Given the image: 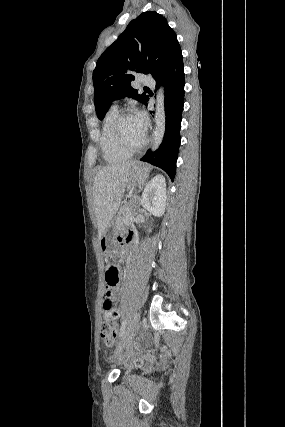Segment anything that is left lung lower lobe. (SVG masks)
Returning a JSON list of instances; mask_svg holds the SVG:
<instances>
[{"label":"left lung lower lobe","instance_id":"0a47b994","mask_svg":"<svg viewBox=\"0 0 285 427\" xmlns=\"http://www.w3.org/2000/svg\"><path fill=\"white\" fill-rule=\"evenodd\" d=\"M162 80L165 90V134L157 151L150 150L140 160L163 169L171 179L175 177L180 146L181 117L184 105V65L182 52L178 53L169 68L156 79Z\"/></svg>","mask_w":285,"mask_h":427}]
</instances>
